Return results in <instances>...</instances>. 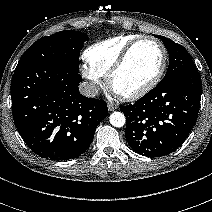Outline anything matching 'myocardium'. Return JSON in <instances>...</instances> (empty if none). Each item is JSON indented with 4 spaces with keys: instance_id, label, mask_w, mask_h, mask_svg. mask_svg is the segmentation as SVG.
<instances>
[{
    "instance_id": "obj_1",
    "label": "myocardium",
    "mask_w": 212,
    "mask_h": 212,
    "mask_svg": "<svg viewBox=\"0 0 212 212\" xmlns=\"http://www.w3.org/2000/svg\"><path fill=\"white\" fill-rule=\"evenodd\" d=\"M144 42H152L159 46L162 52V61L159 70L155 74V76L147 82L145 85L142 87L138 88L137 90L130 92V93H120L118 92L115 87H114V78L115 76L122 70V68L125 66L126 62L128 61L131 53L133 50L141 43ZM167 62H168V52L165 47V45L158 39L153 38V37H139L132 41L120 54L116 62L113 64V66L110 68V70L107 73V84L109 88L119 97L125 99V100H136L147 93H149L151 90H153L161 81L166 67H167Z\"/></svg>"
}]
</instances>
